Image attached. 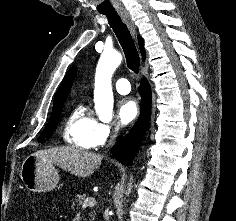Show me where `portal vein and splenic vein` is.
Masks as SVG:
<instances>
[{
    "instance_id": "portal-vein-and-splenic-vein-1",
    "label": "portal vein and splenic vein",
    "mask_w": 236,
    "mask_h": 221,
    "mask_svg": "<svg viewBox=\"0 0 236 221\" xmlns=\"http://www.w3.org/2000/svg\"><path fill=\"white\" fill-rule=\"evenodd\" d=\"M95 204H96L95 198H93V197H88V198H86V199L84 200L82 206H83V207H86V206H91V207H93Z\"/></svg>"
}]
</instances>
